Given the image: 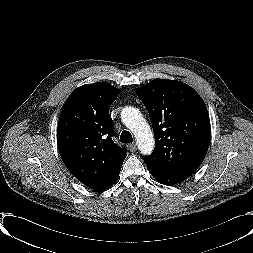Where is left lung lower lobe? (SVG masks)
<instances>
[{
	"label": "left lung lower lobe",
	"instance_id": "0a47b994",
	"mask_svg": "<svg viewBox=\"0 0 253 253\" xmlns=\"http://www.w3.org/2000/svg\"><path fill=\"white\" fill-rule=\"evenodd\" d=\"M148 170L155 179L166 185L177 184L192 175L189 173L164 172L150 168Z\"/></svg>",
	"mask_w": 253,
	"mask_h": 253
}]
</instances>
